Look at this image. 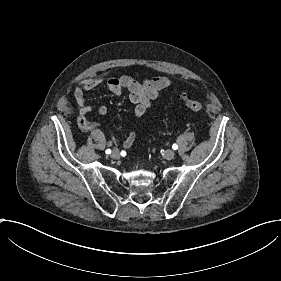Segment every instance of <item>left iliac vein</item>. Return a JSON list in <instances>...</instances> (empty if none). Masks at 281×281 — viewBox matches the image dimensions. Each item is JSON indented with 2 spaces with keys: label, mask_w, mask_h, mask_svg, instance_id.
Returning <instances> with one entry per match:
<instances>
[{
  "label": "left iliac vein",
  "mask_w": 281,
  "mask_h": 281,
  "mask_svg": "<svg viewBox=\"0 0 281 281\" xmlns=\"http://www.w3.org/2000/svg\"><path fill=\"white\" fill-rule=\"evenodd\" d=\"M164 155L166 158L172 159V158H174L175 153H174V151L167 149V150H165Z\"/></svg>",
  "instance_id": "obj_1"
}]
</instances>
